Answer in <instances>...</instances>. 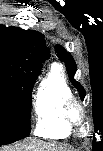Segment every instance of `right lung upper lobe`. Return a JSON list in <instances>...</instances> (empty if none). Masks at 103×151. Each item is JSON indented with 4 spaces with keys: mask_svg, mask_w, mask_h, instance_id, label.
<instances>
[{
    "mask_svg": "<svg viewBox=\"0 0 103 151\" xmlns=\"http://www.w3.org/2000/svg\"><path fill=\"white\" fill-rule=\"evenodd\" d=\"M49 57L40 32L0 25V77L12 84L36 80L42 63Z\"/></svg>",
    "mask_w": 103,
    "mask_h": 151,
    "instance_id": "obj_1",
    "label": "right lung upper lobe"
}]
</instances>
